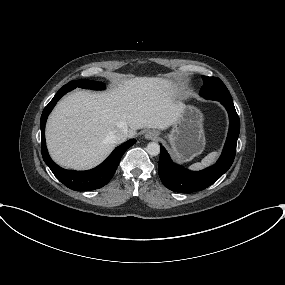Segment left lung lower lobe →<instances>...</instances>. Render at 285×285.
I'll return each mask as SVG.
<instances>
[{"instance_id":"left-lung-lower-lobe-1","label":"left lung lower lobe","mask_w":285,"mask_h":285,"mask_svg":"<svg viewBox=\"0 0 285 285\" xmlns=\"http://www.w3.org/2000/svg\"><path fill=\"white\" fill-rule=\"evenodd\" d=\"M222 103V102H221ZM226 108L230 126L227 140L219 160L202 171H190L174 164L163 146L160 150L158 172L163 184L179 193H192L204 190L217 181L232 165L236 154L240 120L233 103H222Z\"/></svg>"}]
</instances>
